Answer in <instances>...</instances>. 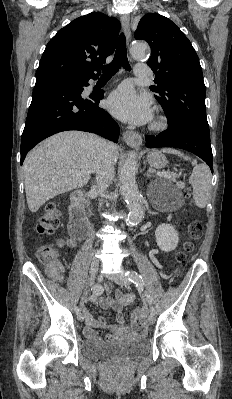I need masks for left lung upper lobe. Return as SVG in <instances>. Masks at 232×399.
Wrapping results in <instances>:
<instances>
[{
    "label": "left lung upper lobe",
    "mask_w": 232,
    "mask_h": 399,
    "mask_svg": "<svg viewBox=\"0 0 232 399\" xmlns=\"http://www.w3.org/2000/svg\"><path fill=\"white\" fill-rule=\"evenodd\" d=\"M135 39L149 43L147 65L157 86L150 89L165 110L168 123L183 125L210 137L206 118V90L198 56L182 31L168 18L149 13L142 17Z\"/></svg>",
    "instance_id": "left-lung-upper-lobe-1"
}]
</instances>
